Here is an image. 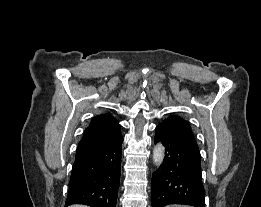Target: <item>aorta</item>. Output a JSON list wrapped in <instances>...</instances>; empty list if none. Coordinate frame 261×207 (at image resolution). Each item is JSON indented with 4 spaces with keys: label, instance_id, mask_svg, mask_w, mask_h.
I'll list each match as a JSON object with an SVG mask.
<instances>
[{
    "label": "aorta",
    "instance_id": "1",
    "mask_svg": "<svg viewBox=\"0 0 261 207\" xmlns=\"http://www.w3.org/2000/svg\"><path fill=\"white\" fill-rule=\"evenodd\" d=\"M164 160V146L158 143L153 149V163L160 166Z\"/></svg>",
    "mask_w": 261,
    "mask_h": 207
}]
</instances>
